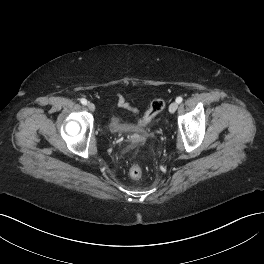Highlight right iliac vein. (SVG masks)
Listing matches in <instances>:
<instances>
[{"instance_id": "obj_1", "label": "right iliac vein", "mask_w": 264, "mask_h": 264, "mask_svg": "<svg viewBox=\"0 0 264 264\" xmlns=\"http://www.w3.org/2000/svg\"><path fill=\"white\" fill-rule=\"evenodd\" d=\"M87 107H88V109L90 110V111H95V105L93 104V103H91V102H89L88 104H87Z\"/></svg>"}]
</instances>
